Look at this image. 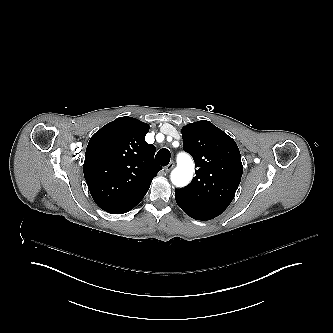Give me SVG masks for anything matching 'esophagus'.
<instances>
[{
  "label": "esophagus",
  "instance_id": "34e87169",
  "mask_svg": "<svg viewBox=\"0 0 333 333\" xmlns=\"http://www.w3.org/2000/svg\"><path fill=\"white\" fill-rule=\"evenodd\" d=\"M175 163L173 161H171L166 167H165V172H169L173 167H174Z\"/></svg>",
  "mask_w": 333,
  "mask_h": 333
}]
</instances>
